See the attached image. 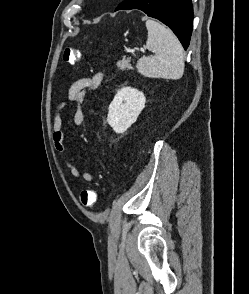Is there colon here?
Here are the masks:
<instances>
[{"label": "colon", "mask_w": 249, "mask_h": 294, "mask_svg": "<svg viewBox=\"0 0 249 294\" xmlns=\"http://www.w3.org/2000/svg\"><path fill=\"white\" fill-rule=\"evenodd\" d=\"M82 53L79 48L67 47L63 53V59L66 63L74 65L81 59ZM97 200V192L95 190H83L80 194V201L83 206L91 207Z\"/></svg>", "instance_id": "colon-1"}]
</instances>
